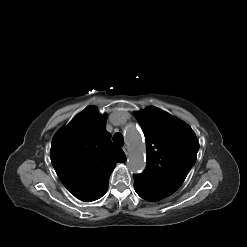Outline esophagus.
Here are the masks:
<instances>
[{"label":"esophagus","mask_w":247,"mask_h":247,"mask_svg":"<svg viewBox=\"0 0 247 247\" xmlns=\"http://www.w3.org/2000/svg\"><path fill=\"white\" fill-rule=\"evenodd\" d=\"M123 151H124V153L126 154V155H129V147L128 146H124L123 147Z\"/></svg>","instance_id":"obj_1"}]
</instances>
